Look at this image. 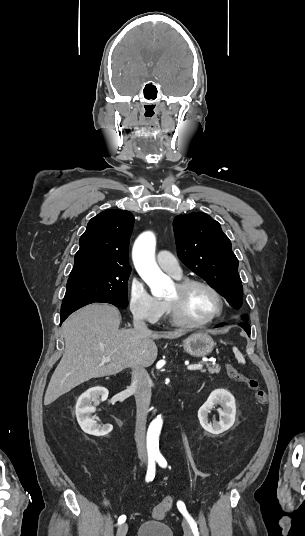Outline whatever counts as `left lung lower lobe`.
<instances>
[{"label": "left lung lower lobe", "mask_w": 305, "mask_h": 536, "mask_svg": "<svg viewBox=\"0 0 305 536\" xmlns=\"http://www.w3.org/2000/svg\"><path fill=\"white\" fill-rule=\"evenodd\" d=\"M242 320L245 321L243 323H240L239 326H241L245 331L246 333L250 336V325L246 322L248 321V317L246 315L242 316ZM225 324H220V325H217V327H221Z\"/></svg>", "instance_id": "1"}]
</instances>
